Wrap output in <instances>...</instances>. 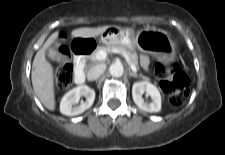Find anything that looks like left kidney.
<instances>
[{
  "label": "left kidney",
  "mask_w": 225,
  "mask_h": 155,
  "mask_svg": "<svg viewBox=\"0 0 225 155\" xmlns=\"http://www.w3.org/2000/svg\"><path fill=\"white\" fill-rule=\"evenodd\" d=\"M146 92L151 97L152 102L146 103L142 98V94ZM132 96L135 104L146 112H159L161 110V95L158 88L147 82H135L132 86Z\"/></svg>",
  "instance_id": "left-kidney-1"
}]
</instances>
